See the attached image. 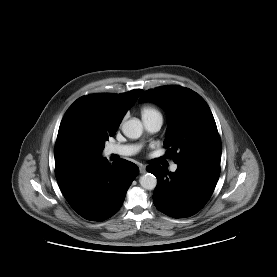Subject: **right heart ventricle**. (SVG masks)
Masks as SVG:
<instances>
[{"mask_svg":"<svg viewBox=\"0 0 277 277\" xmlns=\"http://www.w3.org/2000/svg\"><path fill=\"white\" fill-rule=\"evenodd\" d=\"M141 115L143 119L162 117L161 112L152 105H145L141 108Z\"/></svg>","mask_w":277,"mask_h":277,"instance_id":"obj_1","label":"right heart ventricle"}]
</instances>
